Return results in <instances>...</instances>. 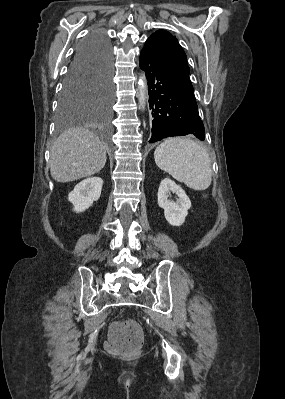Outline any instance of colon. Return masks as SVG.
Segmentation results:
<instances>
[{
  "label": "colon",
  "mask_w": 285,
  "mask_h": 399,
  "mask_svg": "<svg viewBox=\"0 0 285 399\" xmlns=\"http://www.w3.org/2000/svg\"><path fill=\"white\" fill-rule=\"evenodd\" d=\"M143 338L144 332L137 322H118L109 332L107 349L116 354L132 355L139 350Z\"/></svg>",
  "instance_id": "obj_1"
}]
</instances>
